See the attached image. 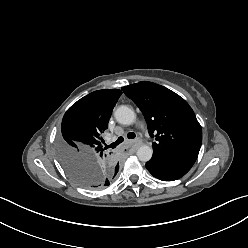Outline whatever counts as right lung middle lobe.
Segmentation results:
<instances>
[{
    "label": "right lung middle lobe",
    "mask_w": 248,
    "mask_h": 248,
    "mask_svg": "<svg viewBox=\"0 0 248 248\" xmlns=\"http://www.w3.org/2000/svg\"><path fill=\"white\" fill-rule=\"evenodd\" d=\"M58 153L67 174L80 186L86 188H101L108 179V174L96 164L83 157L71 154L69 158L63 155V135L58 142Z\"/></svg>",
    "instance_id": "dd1d6c3e"
}]
</instances>
